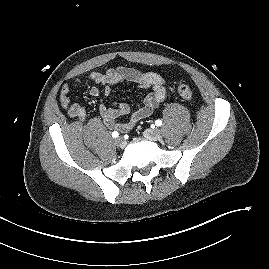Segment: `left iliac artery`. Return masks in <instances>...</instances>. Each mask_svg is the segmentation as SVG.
<instances>
[{
    "label": "left iliac artery",
    "instance_id": "44dca946",
    "mask_svg": "<svg viewBox=\"0 0 269 269\" xmlns=\"http://www.w3.org/2000/svg\"><path fill=\"white\" fill-rule=\"evenodd\" d=\"M156 126H161L162 125V120L158 119L155 122Z\"/></svg>",
    "mask_w": 269,
    "mask_h": 269
}]
</instances>
